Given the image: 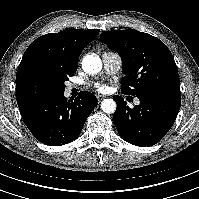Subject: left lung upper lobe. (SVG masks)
Masks as SVG:
<instances>
[{
  "label": "left lung upper lobe",
  "mask_w": 199,
  "mask_h": 199,
  "mask_svg": "<svg viewBox=\"0 0 199 199\" xmlns=\"http://www.w3.org/2000/svg\"><path fill=\"white\" fill-rule=\"evenodd\" d=\"M99 40L121 56L122 93L181 96L174 58L161 40L132 29L103 31Z\"/></svg>",
  "instance_id": "left-lung-upper-lobe-1"
}]
</instances>
